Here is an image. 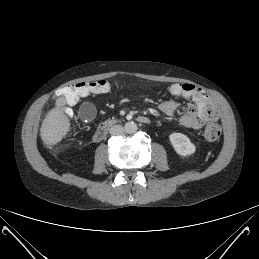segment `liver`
Returning <instances> with one entry per match:
<instances>
[{
  "mask_svg": "<svg viewBox=\"0 0 259 259\" xmlns=\"http://www.w3.org/2000/svg\"><path fill=\"white\" fill-rule=\"evenodd\" d=\"M65 98L56 99L55 107L50 110L42 122L40 136L46 145L59 143L70 131V120L65 114Z\"/></svg>",
  "mask_w": 259,
  "mask_h": 259,
  "instance_id": "liver-1",
  "label": "liver"
}]
</instances>
